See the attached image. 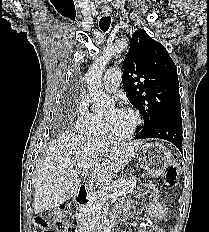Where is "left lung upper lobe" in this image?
<instances>
[{
	"label": "left lung upper lobe",
	"instance_id": "1",
	"mask_svg": "<svg viewBox=\"0 0 209 232\" xmlns=\"http://www.w3.org/2000/svg\"><path fill=\"white\" fill-rule=\"evenodd\" d=\"M122 83L148 130L164 117L181 112L177 68L166 48L138 29L123 61Z\"/></svg>",
	"mask_w": 209,
	"mask_h": 232
}]
</instances>
